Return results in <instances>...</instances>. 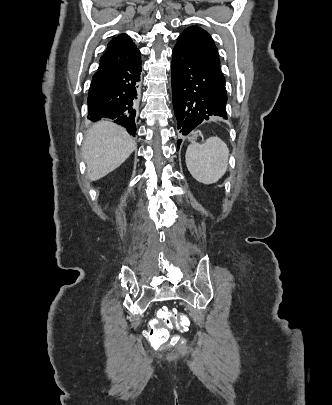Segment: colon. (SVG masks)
Returning a JSON list of instances; mask_svg holds the SVG:
<instances>
[{
    "label": "colon",
    "mask_w": 332,
    "mask_h": 405,
    "mask_svg": "<svg viewBox=\"0 0 332 405\" xmlns=\"http://www.w3.org/2000/svg\"><path fill=\"white\" fill-rule=\"evenodd\" d=\"M193 320L192 315H185L176 310L162 309L158 312V315L151 316L152 326L148 333L149 339L153 344L161 346L169 340L168 328L175 325L181 331H186L189 324L193 323ZM178 340V335L171 338V341L177 342Z\"/></svg>",
    "instance_id": "obj_1"
}]
</instances>
